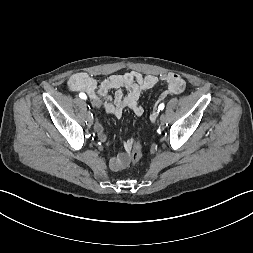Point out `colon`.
<instances>
[{
    "label": "colon",
    "instance_id": "1",
    "mask_svg": "<svg viewBox=\"0 0 253 253\" xmlns=\"http://www.w3.org/2000/svg\"><path fill=\"white\" fill-rule=\"evenodd\" d=\"M142 157V147L139 141H135L131 147L130 159L133 164L138 163Z\"/></svg>",
    "mask_w": 253,
    "mask_h": 253
}]
</instances>
